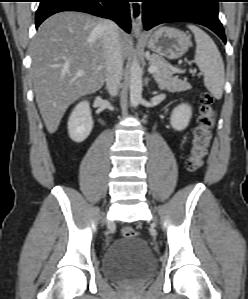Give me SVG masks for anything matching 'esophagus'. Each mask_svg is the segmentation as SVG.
<instances>
[{"mask_svg": "<svg viewBox=\"0 0 248 299\" xmlns=\"http://www.w3.org/2000/svg\"><path fill=\"white\" fill-rule=\"evenodd\" d=\"M130 15L132 21V30L138 37L141 35L142 30V8L138 1H132L130 3Z\"/></svg>", "mask_w": 248, "mask_h": 299, "instance_id": "1", "label": "esophagus"}]
</instances>
